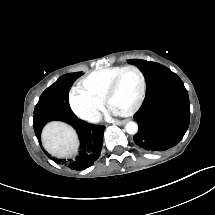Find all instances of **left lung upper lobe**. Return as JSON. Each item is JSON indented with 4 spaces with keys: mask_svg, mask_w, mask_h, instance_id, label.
I'll return each mask as SVG.
<instances>
[{
    "mask_svg": "<svg viewBox=\"0 0 215 215\" xmlns=\"http://www.w3.org/2000/svg\"><path fill=\"white\" fill-rule=\"evenodd\" d=\"M130 63L138 66L147 85L145 101L134 116L139 126L134 142L146 151L168 150L181 141L189 126L187 90L175 73L160 64Z\"/></svg>",
    "mask_w": 215,
    "mask_h": 215,
    "instance_id": "1",
    "label": "left lung upper lobe"
}]
</instances>
